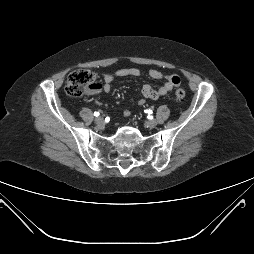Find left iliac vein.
Instances as JSON below:
<instances>
[{"label":"left iliac vein","instance_id":"obj_1","mask_svg":"<svg viewBox=\"0 0 254 254\" xmlns=\"http://www.w3.org/2000/svg\"><path fill=\"white\" fill-rule=\"evenodd\" d=\"M146 125L149 128H154V127H156L157 122L155 120H149V121H147Z\"/></svg>","mask_w":254,"mask_h":254}]
</instances>
